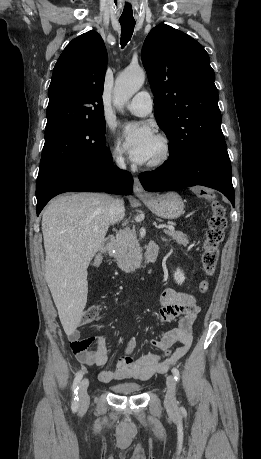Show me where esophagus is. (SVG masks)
I'll list each match as a JSON object with an SVG mask.
<instances>
[{"label": "esophagus", "mask_w": 261, "mask_h": 459, "mask_svg": "<svg viewBox=\"0 0 261 459\" xmlns=\"http://www.w3.org/2000/svg\"><path fill=\"white\" fill-rule=\"evenodd\" d=\"M134 194L137 196V197H146L148 196L147 192L145 191V189L143 188L140 180L138 179V177H134Z\"/></svg>", "instance_id": "esophagus-1"}]
</instances>
